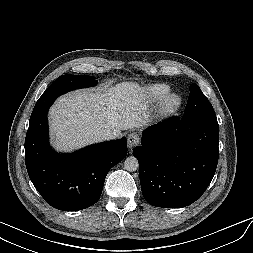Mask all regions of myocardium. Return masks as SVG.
Here are the masks:
<instances>
[{"instance_id": "obj_1", "label": "myocardium", "mask_w": 253, "mask_h": 253, "mask_svg": "<svg viewBox=\"0 0 253 253\" xmlns=\"http://www.w3.org/2000/svg\"><path fill=\"white\" fill-rule=\"evenodd\" d=\"M181 103L182 99L178 94H168L163 98L159 112L164 116L172 115L180 108Z\"/></svg>"}]
</instances>
